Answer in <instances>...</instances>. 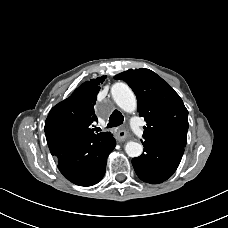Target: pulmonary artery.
Segmentation results:
<instances>
[{
  "mask_svg": "<svg viewBox=\"0 0 228 228\" xmlns=\"http://www.w3.org/2000/svg\"><path fill=\"white\" fill-rule=\"evenodd\" d=\"M131 125H132V128H133L134 132H135L138 136H141V135L143 134V131H142V129L140 128L137 119H132Z\"/></svg>",
  "mask_w": 228,
  "mask_h": 228,
  "instance_id": "pulmonary-artery-1",
  "label": "pulmonary artery"
}]
</instances>
